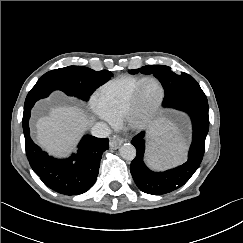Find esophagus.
Masks as SVG:
<instances>
[{
  "label": "esophagus",
  "mask_w": 243,
  "mask_h": 243,
  "mask_svg": "<svg viewBox=\"0 0 243 243\" xmlns=\"http://www.w3.org/2000/svg\"><path fill=\"white\" fill-rule=\"evenodd\" d=\"M122 144H123V140L117 138H113L109 142V145L112 149H117Z\"/></svg>",
  "instance_id": "34e87169"
}]
</instances>
